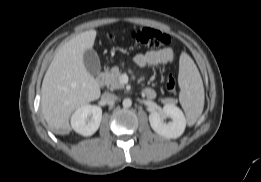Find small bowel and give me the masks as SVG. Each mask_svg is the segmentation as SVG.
Here are the masks:
<instances>
[{
	"label": "small bowel",
	"mask_w": 261,
	"mask_h": 182,
	"mask_svg": "<svg viewBox=\"0 0 261 182\" xmlns=\"http://www.w3.org/2000/svg\"><path fill=\"white\" fill-rule=\"evenodd\" d=\"M176 55L172 47H165L159 50H150L144 53H139L134 57V62L140 66L155 67L174 62ZM151 91V94L146 95L149 98L155 97V92L151 88H146Z\"/></svg>",
	"instance_id": "obj_1"
}]
</instances>
